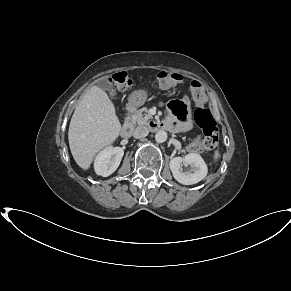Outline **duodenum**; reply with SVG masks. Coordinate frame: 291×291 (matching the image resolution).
Listing matches in <instances>:
<instances>
[{"mask_svg": "<svg viewBox=\"0 0 291 291\" xmlns=\"http://www.w3.org/2000/svg\"><path fill=\"white\" fill-rule=\"evenodd\" d=\"M134 110H135V106L132 103L129 104L127 106V108H126V117H125L124 123H123V125L121 126V129H120V133L124 137L130 136L132 134V132H133V125H132L130 116L132 115ZM161 126H164V124L161 125L159 122L151 123V127L153 129H159V128H161Z\"/></svg>", "mask_w": 291, "mask_h": 291, "instance_id": "410a0bca", "label": "duodenum"}]
</instances>
